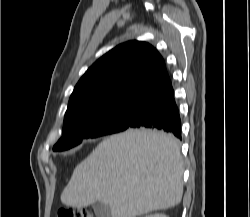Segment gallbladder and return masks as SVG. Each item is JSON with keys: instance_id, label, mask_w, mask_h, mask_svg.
<instances>
[{"instance_id": "bac80fb5", "label": "gallbladder", "mask_w": 250, "mask_h": 217, "mask_svg": "<svg viewBox=\"0 0 250 217\" xmlns=\"http://www.w3.org/2000/svg\"><path fill=\"white\" fill-rule=\"evenodd\" d=\"M93 209L96 214V217H111L110 208L108 205L96 202L93 204Z\"/></svg>"}]
</instances>
